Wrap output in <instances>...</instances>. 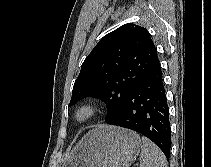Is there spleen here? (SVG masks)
<instances>
[{
    "instance_id": "1",
    "label": "spleen",
    "mask_w": 211,
    "mask_h": 167,
    "mask_svg": "<svg viewBox=\"0 0 211 167\" xmlns=\"http://www.w3.org/2000/svg\"><path fill=\"white\" fill-rule=\"evenodd\" d=\"M140 167H167L163 152L148 138L142 137Z\"/></svg>"
}]
</instances>
